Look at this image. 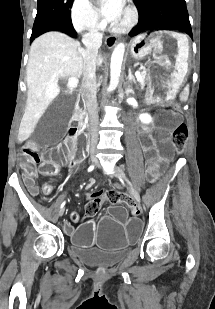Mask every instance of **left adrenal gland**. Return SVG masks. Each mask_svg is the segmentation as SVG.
<instances>
[{
	"instance_id": "obj_1",
	"label": "left adrenal gland",
	"mask_w": 215,
	"mask_h": 309,
	"mask_svg": "<svg viewBox=\"0 0 215 309\" xmlns=\"http://www.w3.org/2000/svg\"><path fill=\"white\" fill-rule=\"evenodd\" d=\"M129 82H136L134 76H132L131 68H129V74L127 76Z\"/></svg>"
}]
</instances>
